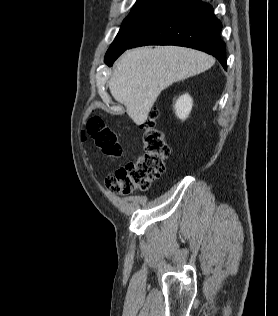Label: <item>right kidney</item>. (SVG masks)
Returning <instances> with one entry per match:
<instances>
[{
  "label": "right kidney",
  "mask_w": 278,
  "mask_h": 316,
  "mask_svg": "<svg viewBox=\"0 0 278 316\" xmlns=\"http://www.w3.org/2000/svg\"><path fill=\"white\" fill-rule=\"evenodd\" d=\"M193 100L189 94L180 96L175 103V114L181 120H185L191 112Z\"/></svg>",
  "instance_id": "ca27d5eb"
}]
</instances>
